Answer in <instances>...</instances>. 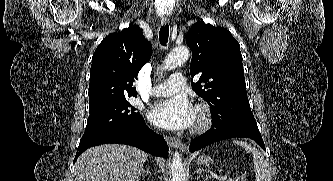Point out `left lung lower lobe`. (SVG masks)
Returning a JSON list of instances; mask_svg holds the SVG:
<instances>
[{"label": "left lung lower lobe", "mask_w": 333, "mask_h": 181, "mask_svg": "<svg viewBox=\"0 0 333 181\" xmlns=\"http://www.w3.org/2000/svg\"><path fill=\"white\" fill-rule=\"evenodd\" d=\"M235 137L250 138L266 151L260 133L238 127L231 117L224 114L212 115L211 128L201 136L191 140L189 151L194 152L213 142Z\"/></svg>", "instance_id": "1"}]
</instances>
